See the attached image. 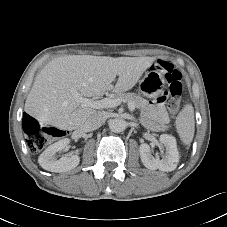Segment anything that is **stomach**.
Listing matches in <instances>:
<instances>
[{
	"label": "stomach",
	"instance_id": "stomach-1",
	"mask_svg": "<svg viewBox=\"0 0 227 227\" xmlns=\"http://www.w3.org/2000/svg\"><path fill=\"white\" fill-rule=\"evenodd\" d=\"M164 86L165 80L163 75L154 68L147 71L139 81L140 92L148 98L158 97L163 92Z\"/></svg>",
	"mask_w": 227,
	"mask_h": 227
}]
</instances>
